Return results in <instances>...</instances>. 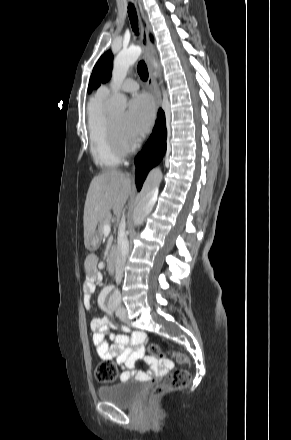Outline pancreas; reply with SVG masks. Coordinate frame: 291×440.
I'll use <instances>...</instances> for the list:
<instances>
[{
	"label": "pancreas",
	"instance_id": "pancreas-1",
	"mask_svg": "<svg viewBox=\"0 0 291 440\" xmlns=\"http://www.w3.org/2000/svg\"><path fill=\"white\" fill-rule=\"evenodd\" d=\"M110 222V215H108L107 217H105L104 219L100 220L99 225H98V235L99 237L103 236V228L104 225L109 224Z\"/></svg>",
	"mask_w": 291,
	"mask_h": 440
}]
</instances>
